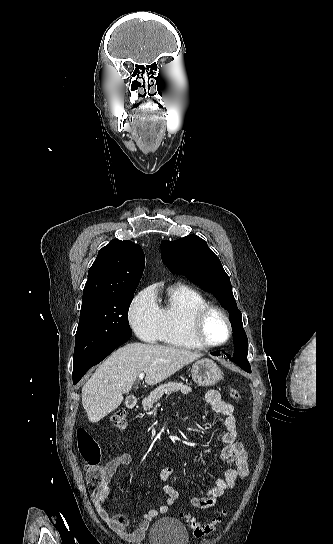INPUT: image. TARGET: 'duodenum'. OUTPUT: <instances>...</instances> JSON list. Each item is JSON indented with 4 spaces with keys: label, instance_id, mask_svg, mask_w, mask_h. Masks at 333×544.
Returning <instances> with one entry per match:
<instances>
[{
    "label": "duodenum",
    "instance_id": "1",
    "mask_svg": "<svg viewBox=\"0 0 333 544\" xmlns=\"http://www.w3.org/2000/svg\"><path fill=\"white\" fill-rule=\"evenodd\" d=\"M137 405V398L134 396H130L126 399V406L128 408H134Z\"/></svg>",
    "mask_w": 333,
    "mask_h": 544
}]
</instances>
